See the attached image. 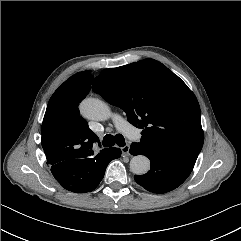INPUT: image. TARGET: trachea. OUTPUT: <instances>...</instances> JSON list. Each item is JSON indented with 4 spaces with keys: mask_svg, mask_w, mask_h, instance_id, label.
Here are the masks:
<instances>
[{
    "mask_svg": "<svg viewBox=\"0 0 241 241\" xmlns=\"http://www.w3.org/2000/svg\"><path fill=\"white\" fill-rule=\"evenodd\" d=\"M102 144L104 147H111L115 144H117L120 147H123L126 145L124 137L121 134H116L115 136L111 134L105 135V137L103 138Z\"/></svg>",
    "mask_w": 241,
    "mask_h": 241,
    "instance_id": "3493384b",
    "label": "trachea"
}]
</instances>
